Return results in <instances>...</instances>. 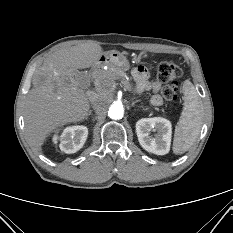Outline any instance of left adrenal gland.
Instances as JSON below:
<instances>
[{"label":"left adrenal gland","instance_id":"a2214340","mask_svg":"<svg viewBox=\"0 0 233 233\" xmlns=\"http://www.w3.org/2000/svg\"><path fill=\"white\" fill-rule=\"evenodd\" d=\"M140 100H136V101H134L132 104H131V107H134L135 106V104L137 103V102H139Z\"/></svg>","mask_w":233,"mask_h":233}]
</instances>
